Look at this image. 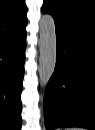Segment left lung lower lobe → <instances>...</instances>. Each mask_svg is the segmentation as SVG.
I'll return each mask as SVG.
<instances>
[{
    "label": "left lung lower lobe",
    "instance_id": "obj_1",
    "mask_svg": "<svg viewBox=\"0 0 95 130\" xmlns=\"http://www.w3.org/2000/svg\"><path fill=\"white\" fill-rule=\"evenodd\" d=\"M57 60L44 97L46 130L95 129V36L70 25L56 27Z\"/></svg>",
    "mask_w": 95,
    "mask_h": 130
}]
</instances>
